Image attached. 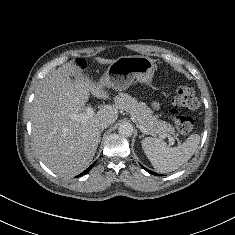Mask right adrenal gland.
Wrapping results in <instances>:
<instances>
[{
    "label": "right adrenal gland",
    "instance_id": "1",
    "mask_svg": "<svg viewBox=\"0 0 235 235\" xmlns=\"http://www.w3.org/2000/svg\"><path fill=\"white\" fill-rule=\"evenodd\" d=\"M103 132V129L100 131V133ZM99 142H100V139H99Z\"/></svg>",
    "mask_w": 235,
    "mask_h": 235
}]
</instances>
